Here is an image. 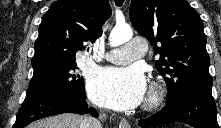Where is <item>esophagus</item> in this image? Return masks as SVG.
Returning a JSON list of instances; mask_svg holds the SVG:
<instances>
[{
	"mask_svg": "<svg viewBox=\"0 0 221 128\" xmlns=\"http://www.w3.org/2000/svg\"><path fill=\"white\" fill-rule=\"evenodd\" d=\"M120 127H121V128H130V124H129L127 121L122 120V121L120 122Z\"/></svg>",
	"mask_w": 221,
	"mask_h": 128,
	"instance_id": "esophagus-1",
	"label": "esophagus"
}]
</instances>
